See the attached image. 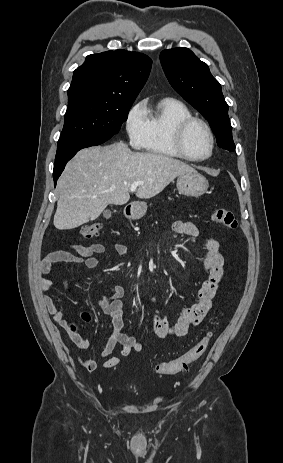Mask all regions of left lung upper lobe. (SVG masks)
<instances>
[{
	"label": "left lung upper lobe",
	"instance_id": "obj_1",
	"mask_svg": "<svg viewBox=\"0 0 283 463\" xmlns=\"http://www.w3.org/2000/svg\"><path fill=\"white\" fill-rule=\"evenodd\" d=\"M160 61L171 86L208 120L218 146L234 151L228 105L208 65L184 47L162 51Z\"/></svg>",
	"mask_w": 283,
	"mask_h": 463
}]
</instances>
